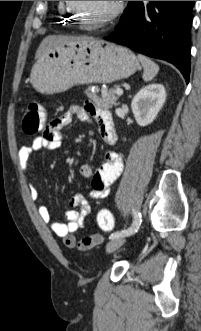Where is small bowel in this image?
Wrapping results in <instances>:
<instances>
[{"label":"small bowel","instance_id":"obj_1","mask_svg":"<svg viewBox=\"0 0 201 331\" xmlns=\"http://www.w3.org/2000/svg\"><path fill=\"white\" fill-rule=\"evenodd\" d=\"M89 122L94 118L102 140L108 145L116 142V132L111 113L91 102L81 107L73 105L61 116L51 120L46 126L43 134L33 139L31 144L22 146L18 153L20 168L26 177L32 178L31 156L39 150H56L63 144V129L73 119ZM123 170V163L120 155L113 150H106L104 161L98 170L93 173L89 164H82L79 168L81 177L89 180L91 191L89 198H104L108 195L110 185L120 176ZM30 194L34 199L39 196L38 189L30 183ZM89 198L76 194L70 199L71 208L65 213L66 222L52 221L50 209L47 205H40L38 208L42 220L50 223L52 231L60 238L67 247L73 248L78 245L75 232L84 226L85 218L91 211Z\"/></svg>","mask_w":201,"mask_h":331}]
</instances>
